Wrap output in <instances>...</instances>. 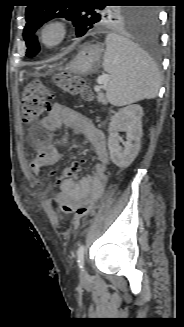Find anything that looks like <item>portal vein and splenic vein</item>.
Masks as SVG:
<instances>
[{"label": "portal vein and splenic vein", "mask_w": 184, "mask_h": 327, "mask_svg": "<svg viewBox=\"0 0 184 327\" xmlns=\"http://www.w3.org/2000/svg\"><path fill=\"white\" fill-rule=\"evenodd\" d=\"M108 81H109V78H108L107 75L99 76L98 79H97V83H98V85L95 86L94 90H95L96 92H99L100 89H101V85L107 83Z\"/></svg>", "instance_id": "18ae733b"}]
</instances>
